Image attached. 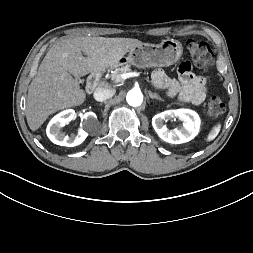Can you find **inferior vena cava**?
I'll list each match as a JSON object with an SVG mask.
<instances>
[{
  "mask_svg": "<svg viewBox=\"0 0 253 253\" xmlns=\"http://www.w3.org/2000/svg\"><path fill=\"white\" fill-rule=\"evenodd\" d=\"M115 94V91L107 88H97L94 92V99L99 102H103L111 98Z\"/></svg>",
  "mask_w": 253,
  "mask_h": 253,
  "instance_id": "obj_1",
  "label": "inferior vena cava"
}]
</instances>
